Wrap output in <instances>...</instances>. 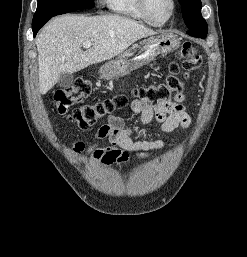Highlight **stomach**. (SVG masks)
Wrapping results in <instances>:
<instances>
[{"label":"stomach","mask_w":247,"mask_h":257,"mask_svg":"<svg viewBox=\"0 0 247 257\" xmlns=\"http://www.w3.org/2000/svg\"><path fill=\"white\" fill-rule=\"evenodd\" d=\"M178 46L179 39L175 35L150 37L103 65L99 70V75L103 79H114L127 75L147 64L157 55L170 52Z\"/></svg>","instance_id":"1"}]
</instances>
